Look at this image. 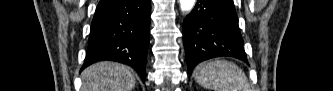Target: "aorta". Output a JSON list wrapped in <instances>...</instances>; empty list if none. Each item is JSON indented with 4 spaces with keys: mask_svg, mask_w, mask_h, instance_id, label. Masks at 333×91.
<instances>
[{
    "mask_svg": "<svg viewBox=\"0 0 333 91\" xmlns=\"http://www.w3.org/2000/svg\"><path fill=\"white\" fill-rule=\"evenodd\" d=\"M180 8L184 12L191 11L194 7L196 0H180Z\"/></svg>",
    "mask_w": 333,
    "mask_h": 91,
    "instance_id": "obj_1",
    "label": "aorta"
}]
</instances>
